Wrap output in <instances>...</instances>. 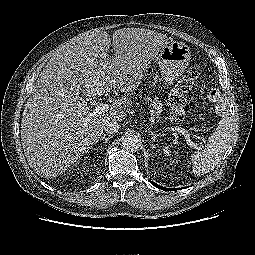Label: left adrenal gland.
Here are the masks:
<instances>
[{"label": "left adrenal gland", "mask_w": 255, "mask_h": 255, "mask_svg": "<svg viewBox=\"0 0 255 255\" xmlns=\"http://www.w3.org/2000/svg\"><path fill=\"white\" fill-rule=\"evenodd\" d=\"M148 132L152 135V141H153V142L155 141V139H156L157 137L162 136L161 133L156 134V133H154L153 131H151L150 128H148Z\"/></svg>", "instance_id": "obj_1"}]
</instances>
